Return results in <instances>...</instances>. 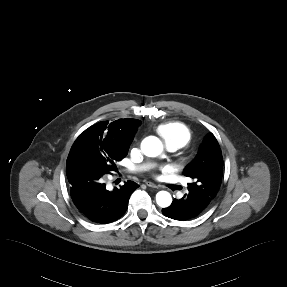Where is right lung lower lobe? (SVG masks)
Here are the masks:
<instances>
[{
	"mask_svg": "<svg viewBox=\"0 0 287 287\" xmlns=\"http://www.w3.org/2000/svg\"><path fill=\"white\" fill-rule=\"evenodd\" d=\"M104 173L94 167H80L67 172L70 195L78 210L90 221L106 224L124 215L132 192L139 187L127 181L113 191L106 189Z\"/></svg>",
	"mask_w": 287,
	"mask_h": 287,
	"instance_id": "1",
	"label": "right lung lower lobe"
}]
</instances>
